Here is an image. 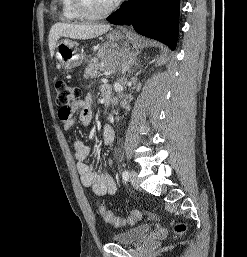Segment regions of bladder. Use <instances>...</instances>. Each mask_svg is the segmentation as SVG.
I'll return each mask as SVG.
<instances>
[{
    "label": "bladder",
    "instance_id": "bladder-1",
    "mask_svg": "<svg viewBox=\"0 0 247 257\" xmlns=\"http://www.w3.org/2000/svg\"><path fill=\"white\" fill-rule=\"evenodd\" d=\"M150 224H142L111 236V241L121 245H133L142 241L150 232Z\"/></svg>",
    "mask_w": 247,
    "mask_h": 257
}]
</instances>
